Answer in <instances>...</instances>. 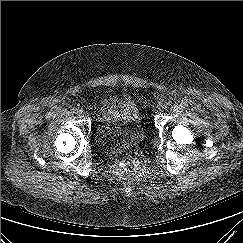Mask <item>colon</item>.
<instances>
[{"label":"colon","instance_id":"obj_1","mask_svg":"<svg viewBox=\"0 0 243 243\" xmlns=\"http://www.w3.org/2000/svg\"><path fill=\"white\" fill-rule=\"evenodd\" d=\"M121 172L126 176H135L140 172V166L138 162L131 158L126 157L120 164Z\"/></svg>","mask_w":243,"mask_h":243}]
</instances>
